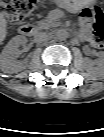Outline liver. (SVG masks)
<instances>
[{"mask_svg":"<svg viewBox=\"0 0 104 137\" xmlns=\"http://www.w3.org/2000/svg\"><path fill=\"white\" fill-rule=\"evenodd\" d=\"M0 34H1V39H4L6 35V20L4 19L3 15H1V19H0Z\"/></svg>","mask_w":104,"mask_h":137,"instance_id":"1","label":"liver"}]
</instances>
